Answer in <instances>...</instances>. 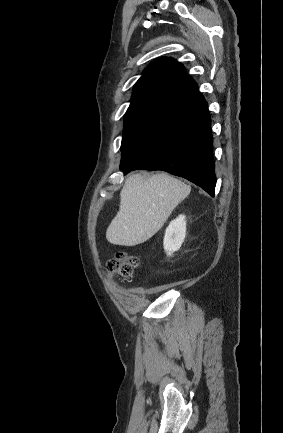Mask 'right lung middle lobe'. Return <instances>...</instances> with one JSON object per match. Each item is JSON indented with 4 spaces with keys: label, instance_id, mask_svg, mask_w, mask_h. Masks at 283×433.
Masks as SVG:
<instances>
[{
    "label": "right lung middle lobe",
    "instance_id": "obj_1",
    "mask_svg": "<svg viewBox=\"0 0 283 433\" xmlns=\"http://www.w3.org/2000/svg\"><path fill=\"white\" fill-rule=\"evenodd\" d=\"M161 113L149 110H130L125 114L121 151L136 137V135Z\"/></svg>",
    "mask_w": 283,
    "mask_h": 433
}]
</instances>
